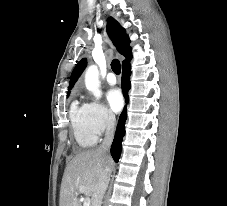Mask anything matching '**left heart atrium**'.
<instances>
[{
	"label": "left heart atrium",
	"instance_id": "39dd6f15",
	"mask_svg": "<svg viewBox=\"0 0 227 206\" xmlns=\"http://www.w3.org/2000/svg\"><path fill=\"white\" fill-rule=\"evenodd\" d=\"M107 102L114 113H118L124 105L123 96L119 89H111L107 94Z\"/></svg>",
	"mask_w": 227,
	"mask_h": 206
}]
</instances>
